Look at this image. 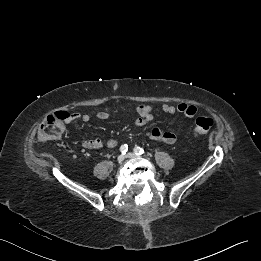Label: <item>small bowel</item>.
Returning <instances> with one entry per match:
<instances>
[{
	"label": "small bowel",
	"mask_w": 261,
	"mask_h": 261,
	"mask_svg": "<svg viewBox=\"0 0 261 261\" xmlns=\"http://www.w3.org/2000/svg\"><path fill=\"white\" fill-rule=\"evenodd\" d=\"M135 111L138 114V117L134 121L135 126H143L153 119V109L149 105L140 104L135 107ZM162 111L166 114H175V113H182L188 118H192L197 114V108L193 105L188 104H178L176 106L164 104L162 106ZM96 117L99 120H107L111 117V113L109 111H99L96 114ZM91 119L89 114H78L73 113L71 114L70 121L81 120L85 123L89 122ZM65 132V128L62 130V133ZM149 138L153 141L164 142L167 144H174L177 140L175 133L171 131H162L159 128H152L149 131ZM83 147L88 149H102L104 146L108 148H115L118 146V140L116 139H109L106 142L101 140L100 138H93V139H83L81 141Z\"/></svg>",
	"instance_id": "1"
}]
</instances>
